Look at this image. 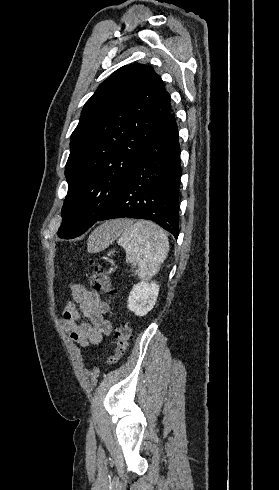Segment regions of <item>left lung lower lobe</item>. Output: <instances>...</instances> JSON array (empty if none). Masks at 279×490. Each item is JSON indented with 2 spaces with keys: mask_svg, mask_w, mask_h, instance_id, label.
<instances>
[{
  "mask_svg": "<svg viewBox=\"0 0 279 490\" xmlns=\"http://www.w3.org/2000/svg\"><path fill=\"white\" fill-rule=\"evenodd\" d=\"M180 177L178 130L171 114L145 144L111 207L98 221L125 217L147 219L177 239Z\"/></svg>",
  "mask_w": 279,
  "mask_h": 490,
  "instance_id": "1",
  "label": "left lung lower lobe"
}]
</instances>
